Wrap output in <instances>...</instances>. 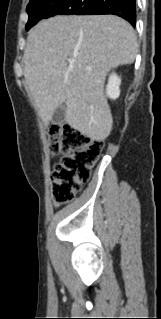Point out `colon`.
I'll return each instance as SVG.
<instances>
[{
    "instance_id": "colon-1",
    "label": "colon",
    "mask_w": 161,
    "mask_h": 319,
    "mask_svg": "<svg viewBox=\"0 0 161 319\" xmlns=\"http://www.w3.org/2000/svg\"><path fill=\"white\" fill-rule=\"evenodd\" d=\"M47 132L51 150L63 154L52 173L53 198L58 204H66L89 180L103 143L66 125L51 124Z\"/></svg>"
}]
</instances>
